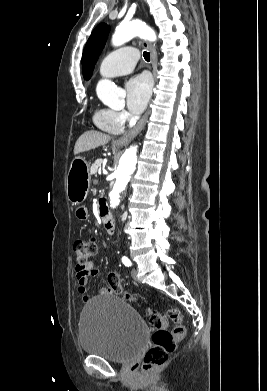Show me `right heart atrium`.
<instances>
[{"label":"right heart atrium","instance_id":"right-heart-atrium-1","mask_svg":"<svg viewBox=\"0 0 267 391\" xmlns=\"http://www.w3.org/2000/svg\"><path fill=\"white\" fill-rule=\"evenodd\" d=\"M113 117L118 123L123 125L128 119V114L123 110L113 111Z\"/></svg>","mask_w":267,"mask_h":391}]
</instances>
